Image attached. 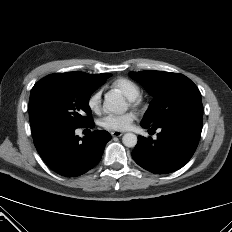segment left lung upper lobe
<instances>
[{"instance_id": "left-lung-upper-lobe-1", "label": "left lung upper lobe", "mask_w": 232, "mask_h": 232, "mask_svg": "<svg viewBox=\"0 0 232 232\" xmlns=\"http://www.w3.org/2000/svg\"><path fill=\"white\" fill-rule=\"evenodd\" d=\"M129 75L154 97L141 122L159 126L178 115L202 113L201 93L188 77L161 71L130 72Z\"/></svg>"}]
</instances>
